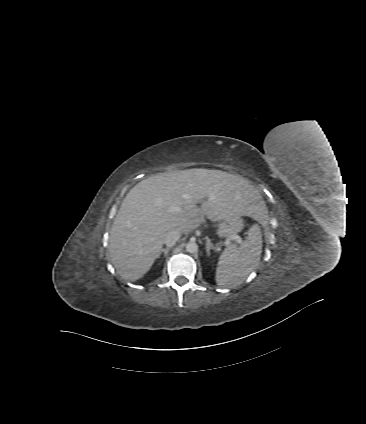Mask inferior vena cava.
<instances>
[{"label": "inferior vena cava", "mask_w": 366, "mask_h": 424, "mask_svg": "<svg viewBox=\"0 0 366 424\" xmlns=\"http://www.w3.org/2000/svg\"><path fill=\"white\" fill-rule=\"evenodd\" d=\"M181 233L178 230L170 231L164 238V244L167 247H171L176 244V242L180 239Z\"/></svg>", "instance_id": "inferior-vena-cava-1"}]
</instances>
